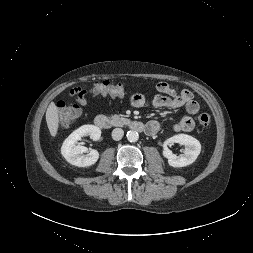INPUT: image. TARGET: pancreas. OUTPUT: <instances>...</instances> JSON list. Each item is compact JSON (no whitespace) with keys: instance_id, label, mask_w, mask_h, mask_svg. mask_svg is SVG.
Returning a JSON list of instances; mask_svg holds the SVG:
<instances>
[{"instance_id":"pancreas-1","label":"pancreas","mask_w":253,"mask_h":253,"mask_svg":"<svg viewBox=\"0 0 253 253\" xmlns=\"http://www.w3.org/2000/svg\"><path fill=\"white\" fill-rule=\"evenodd\" d=\"M110 118H111L112 123L116 126H122L127 121L126 118H123V117H121L120 115H117V114L112 115Z\"/></svg>"}]
</instances>
